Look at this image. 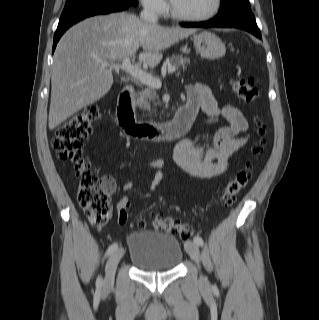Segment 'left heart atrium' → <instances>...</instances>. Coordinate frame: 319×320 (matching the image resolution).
<instances>
[{
  "mask_svg": "<svg viewBox=\"0 0 319 320\" xmlns=\"http://www.w3.org/2000/svg\"><path fill=\"white\" fill-rule=\"evenodd\" d=\"M172 4L175 2V0H171Z\"/></svg>",
  "mask_w": 319,
  "mask_h": 320,
  "instance_id": "1",
  "label": "left heart atrium"
}]
</instances>
